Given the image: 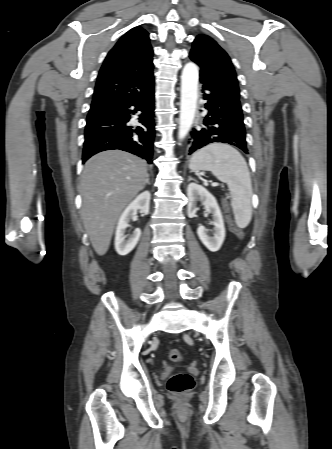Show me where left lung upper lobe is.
Masks as SVG:
<instances>
[{"instance_id":"1","label":"left lung upper lobe","mask_w":332,"mask_h":449,"mask_svg":"<svg viewBox=\"0 0 332 449\" xmlns=\"http://www.w3.org/2000/svg\"><path fill=\"white\" fill-rule=\"evenodd\" d=\"M190 58L200 67V80L211 83L239 100L236 73L227 53L207 35H198Z\"/></svg>"}]
</instances>
